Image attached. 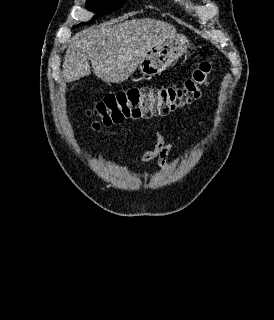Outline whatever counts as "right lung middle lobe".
I'll return each mask as SVG.
<instances>
[{
  "label": "right lung middle lobe",
  "mask_w": 274,
  "mask_h": 320,
  "mask_svg": "<svg viewBox=\"0 0 274 320\" xmlns=\"http://www.w3.org/2000/svg\"><path fill=\"white\" fill-rule=\"evenodd\" d=\"M125 0H87L86 2V8L90 11L97 12L99 14H107L109 12H113L119 8L122 7L123 3ZM100 16H96L94 18H98ZM93 18V19H94ZM86 22V23H81L80 25H86L92 23ZM78 25L74 26L77 27Z\"/></svg>",
  "instance_id": "1"
}]
</instances>
